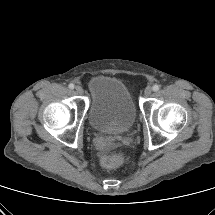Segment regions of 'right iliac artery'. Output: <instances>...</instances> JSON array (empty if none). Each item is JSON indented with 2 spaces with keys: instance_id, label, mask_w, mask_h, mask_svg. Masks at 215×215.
<instances>
[{
  "instance_id": "1",
  "label": "right iliac artery",
  "mask_w": 215,
  "mask_h": 215,
  "mask_svg": "<svg viewBox=\"0 0 215 215\" xmlns=\"http://www.w3.org/2000/svg\"><path fill=\"white\" fill-rule=\"evenodd\" d=\"M69 88H70V89H74V84H72V83L69 84Z\"/></svg>"
}]
</instances>
